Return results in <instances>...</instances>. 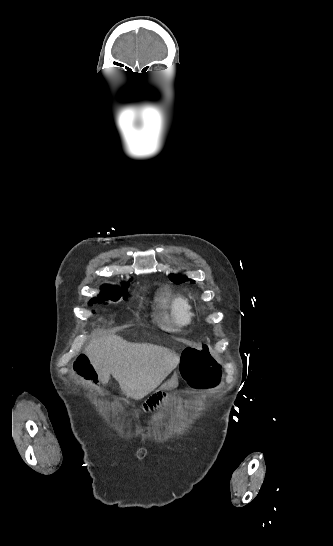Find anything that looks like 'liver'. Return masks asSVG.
Here are the masks:
<instances>
[{"instance_id":"liver-1","label":"liver","mask_w":333,"mask_h":546,"mask_svg":"<svg viewBox=\"0 0 333 546\" xmlns=\"http://www.w3.org/2000/svg\"><path fill=\"white\" fill-rule=\"evenodd\" d=\"M85 354L102 384H107L112 374L123 393L134 400L157 388L180 361L167 348L130 343L117 335L92 338Z\"/></svg>"}]
</instances>
